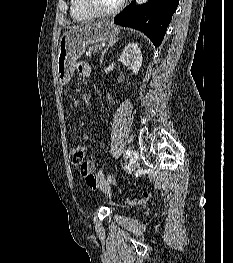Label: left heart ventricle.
Here are the masks:
<instances>
[{"instance_id":"left-heart-ventricle-1","label":"left heart ventricle","mask_w":233,"mask_h":263,"mask_svg":"<svg viewBox=\"0 0 233 263\" xmlns=\"http://www.w3.org/2000/svg\"><path fill=\"white\" fill-rule=\"evenodd\" d=\"M121 0H92L95 7L102 11H108L115 8Z\"/></svg>"}]
</instances>
